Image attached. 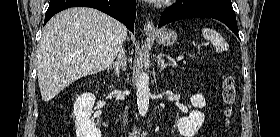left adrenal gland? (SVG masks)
I'll return each mask as SVG.
<instances>
[{
  "label": "left adrenal gland",
  "instance_id": "a2214340",
  "mask_svg": "<svg viewBox=\"0 0 280 137\" xmlns=\"http://www.w3.org/2000/svg\"><path fill=\"white\" fill-rule=\"evenodd\" d=\"M172 65L174 66L173 63H166L165 59L161 55L158 57V67L160 68L159 72H162L167 66Z\"/></svg>",
  "mask_w": 280,
  "mask_h": 137
}]
</instances>
